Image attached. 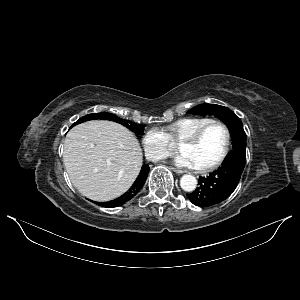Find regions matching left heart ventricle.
Segmentation results:
<instances>
[{
  "mask_svg": "<svg viewBox=\"0 0 300 300\" xmlns=\"http://www.w3.org/2000/svg\"><path fill=\"white\" fill-rule=\"evenodd\" d=\"M226 134L220 125L209 127L194 145H181L180 151L191 157L195 167H204L215 162L222 154Z\"/></svg>",
  "mask_w": 300,
  "mask_h": 300,
  "instance_id": "left-heart-ventricle-1",
  "label": "left heart ventricle"
}]
</instances>
